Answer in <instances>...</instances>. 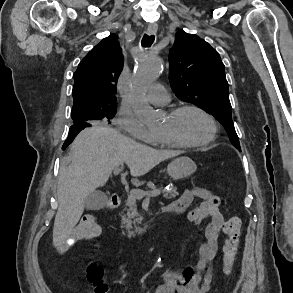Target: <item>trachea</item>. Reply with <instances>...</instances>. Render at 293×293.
I'll return each instance as SVG.
<instances>
[{
    "mask_svg": "<svg viewBox=\"0 0 293 293\" xmlns=\"http://www.w3.org/2000/svg\"><path fill=\"white\" fill-rule=\"evenodd\" d=\"M154 39H155L154 35L149 36L145 34L142 38L141 44L143 47H150L153 44Z\"/></svg>",
    "mask_w": 293,
    "mask_h": 293,
    "instance_id": "3493384b",
    "label": "trachea"
}]
</instances>
